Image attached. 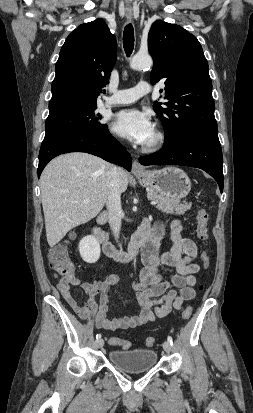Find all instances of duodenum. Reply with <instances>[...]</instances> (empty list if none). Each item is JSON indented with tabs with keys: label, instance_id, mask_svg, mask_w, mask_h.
<instances>
[{
	"label": "duodenum",
	"instance_id": "410a0bca",
	"mask_svg": "<svg viewBox=\"0 0 253 413\" xmlns=\"http://www.w3.org/2000/svg\"><path fill=\"white\" fill-rule=\"evenodd\" d=\"M107 220V213L102 212L96 219L92 233L96 240L102 245L104 253L119 262H129L134 259L141 247L147 244L153 237V230L148 221H144L137 232L132 236L126 250L118 248L107 237L101 229V225Z\"/></svg>",
	"mask_w": 253,
	"mask_h": 413
}]
</instances>
